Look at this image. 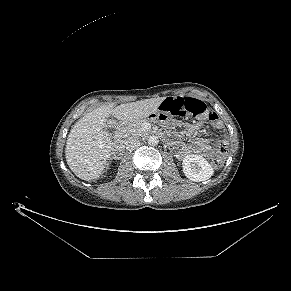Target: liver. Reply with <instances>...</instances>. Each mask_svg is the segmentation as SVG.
Here are the masks:
<instances>
[{"mask_svg": "<svg viewBox=\"0 0 291 291\" xmlns=\"http://www.w3.org/2000/svg\"><path fill=\"white\" fill-rule=\"evenodd\" d=\"M164 99H144L116 107L109 103L84 115L72 127L66 142L65 156L72 172L90 181L104 170L112 151V140L104 129L110 115L125 123L140 122L156 112Z\"/></svg>", "mask_w": 291, "mask_h": 291, "instance_id": "1", "label": "liver"}]
</instances>
